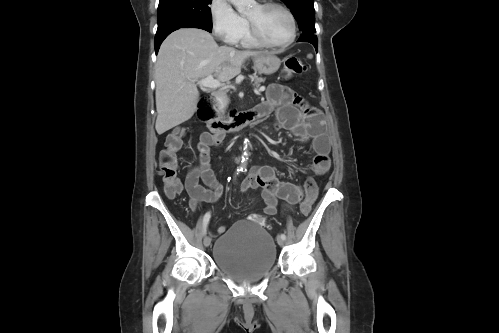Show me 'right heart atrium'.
<instances>
[{"mask_svg": "<svg viewBox=\"0 0 499 333\" xmlns=\"http://www.w3.org/2000/svg\"><path fill=\"white\" fill-rule=\"evenodd\" d=\"M209 15L214 35L226 43H236L247 26L227 0H211Z\"/></svg>", "mask_w": 499, "mask_h": 333, "instance_id": "obj_1", "label": "right heart atrium"}]
</instances>
